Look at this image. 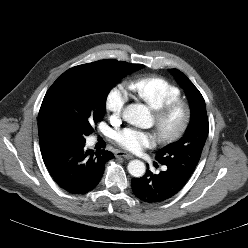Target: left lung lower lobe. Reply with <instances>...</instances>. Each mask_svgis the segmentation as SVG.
I'll use <instances>...</instances> for the list:
<instances>
[{
	"mask_svg": "<svg viewBox=\"0 0 248 248\" xmlns=\"http://www.w3.org/2000/svg\"><path fill=\"white\" fill-rule=\"evenodd\" d=\"M186 182L175 169L168 167L158 175L147 169L143 177L131 180V186L134 195L141 201L158 203L176 195Z\"/></svg>",
	"mask_w": 248,
	"mask_h": 248,
	"instance_id": "1",
	"label": "left lung lower lobe"
}]
</instances>
